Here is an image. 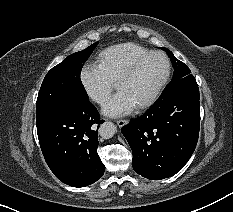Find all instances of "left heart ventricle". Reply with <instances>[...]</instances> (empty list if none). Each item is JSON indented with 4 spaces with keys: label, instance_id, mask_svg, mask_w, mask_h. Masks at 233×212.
Segmentation results:
<instances>
[{
    "label": "left heart ventricle",
    "instance_id": "b2bd125f",
    "mask_svg": "<svg viewBox=\"0 0 233 212\" xmlns=\"http://www.w3.org/2000/svg\"><path fill=\"white\" fill-rule=\"evenodd\" d=\"M166 72V64L162 57L152 56L145 60L136 73L119 86L134 106L148 99L162 81Z\"/></svg>",
    "mask_w": 233,
    "mask_h": 212
}]
</instances>
